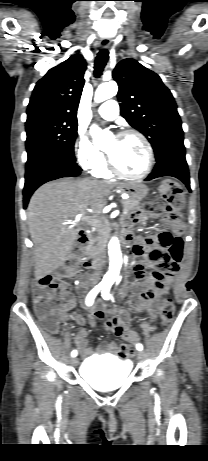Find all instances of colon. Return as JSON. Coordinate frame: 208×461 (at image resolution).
Masks as SVG:
<instances>
[{
  "instance_id": "obj_1",
  "label": "colon",
  "mask_w": 208,
  "mask_h": 461,
  "mask_svg": "<svg viewBox=\"0 0 208 461\" xmlns=\"http://www.w3.org/2000/svg\"><path fill=\"white\" fill-rule=\"evenodd\" d=\"M159 199L144 205V209L150 214L166 212L171 220L180 218L179 208L182 202V189L177 182L165 180L158 190ZM150 245H147V249ZM163 251V250H150ZM69 263V262H68ZM58 284L51 276H46L32 286L33 303L35 310L41 319L44 327L51 333H56L59 328L60 300L55 292ZM174 316V304L170 298H165L159 307V317L163 324L172 322ZM135 340H124L119 349L125 353L127 359H131L134 351L131 348L136 346Z\"/></svg>"
}]
</instances>
